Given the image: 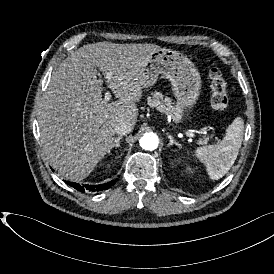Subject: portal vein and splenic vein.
<instances>
[{"label":"portal vein and splenic vein","mask_w":274,"mask_h":274,"mask_svg":"<svg viewBox=\"0 0 274 274\" xmlns=\"http://www.w3.org/2000/svg\"><path fill=\"white\" fill-rule=\"evenodd\" d=\"M104 98L107 101L111 100V98H112L111 91H109V90L106 91L105 94H104Z\"/></svg>","instance_id":"obj_1"}]
</instances>
